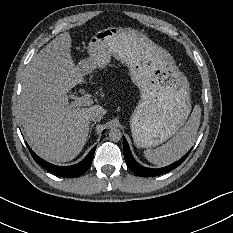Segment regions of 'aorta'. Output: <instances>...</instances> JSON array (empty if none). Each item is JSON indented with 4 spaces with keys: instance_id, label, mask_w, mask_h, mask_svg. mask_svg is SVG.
I'll return each mask as SVG.
<instances>
[{
    "instance_id": "obj_1",
    "label": "aorta",
    "mask_w": 233,
    "mask_h": 233,
    "mask_svg": "<svg viewBox=\"0 0 233 233\" xmlns=\"http://www.w3.org/2000/svg\"><path fill=\"white\" fill-rule=\"evenodd\" d=\"M109 138L111 141L118 142L122 138V132L118 128H111L109 131Z\"/></svg>"
}]
</instances>
